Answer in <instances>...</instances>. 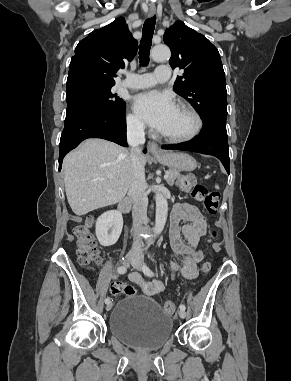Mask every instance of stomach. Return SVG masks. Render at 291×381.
<instances>
[{
  "mask_svg": "<svg viewBox=\"0 0 291 381\" xmlns=\"http://www.w3.org/2000/svg\"><path fill=\"white\" fill-rule=\"evenodd\" d=\"M154 157L161 164L178 171H192L197 167V161L191 155L183 152H166Z\"/></svg>",
  "mask_w": 291,
  "mask_h": 381,
  "instance_id": "obj_1",
  "label": "stomach"
}]
</instances>
